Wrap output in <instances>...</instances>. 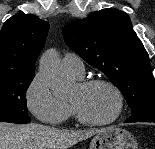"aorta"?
Masks as SVG:
<instances>
[{
  "instance_id": "1",
  "label": "aorta",
  "mask_w": 155,
  "mask_h": 149,
  "mask_svg": "<svg viewBox=\"0 0 155 149\" xmlns=\"http://www.w3.org/2000/svg\"><path fill=\"white\" fill-rule=\"evenodd\" d=\"M40 74L56 97H67L73 89V81L66 75L59 54L55 49L47 50L39 62Z\"/></svg>"
}]
</instances>
